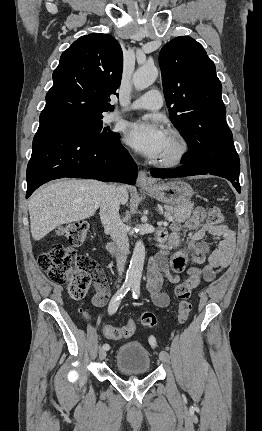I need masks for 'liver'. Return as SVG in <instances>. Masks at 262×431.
Instances as JSON below:
<instances>
[{
  "mask_svg": "<svg viewBox=\"0 0 262 431\" xmlns=\"http://www.w3.org/2000/svg\"><path fill=\"white\" fill-rule=\"evenodd\" d=\"M109 185L97 180H59L35 192L29 199L30 227L34 240L44 238L57 226L93 216ZM124 187L120 202L126 204Z\"/></svg>",
  "mask_w": 262,
  "mask_h": 431,
  "instance_id": "1",
  "label": "liver"
}]
</instances>
